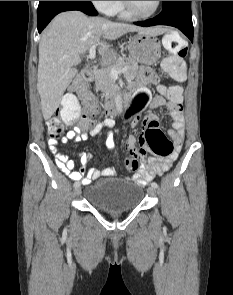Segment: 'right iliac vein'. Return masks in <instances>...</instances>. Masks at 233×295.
<instances>
[{"mask_svg": "<svg viewBox=\"0 0 233 295\" xmlns=\"http://www.w3.org/2000/svg\"><path fill=\"white\" fill-rule=\"evenodd\" d=\"M74 193L76 196H79L81 194V183L77 182V185L75 186Z\"/></svg>", "mask_w": 233, "mask_h": 295, "instance_id": "obj_1", "label": "right iliac vein"}]
</instances>
